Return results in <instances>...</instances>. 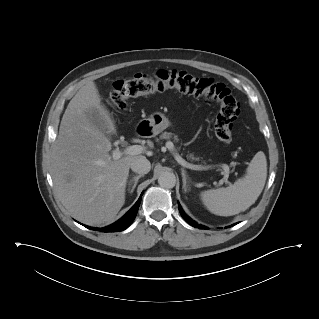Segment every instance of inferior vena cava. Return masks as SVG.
I'll return each mask as SVG.
<instances>
[{
	"mask_svg": "<svg viewBox=\"0 0 319 319\" xmlns=\"http://www.w3.org/2000/svg\"><path fill=\"white\" fill-rule=\"evenodd\" d=\"M130 167H131L132 171L144 175L150 171L151 164H150L149 160H147L144 156H142V157H138V158L134 159L131 162Z\"/></svg>",
	"mask_w": 319,
	"mask_h": 319,
	"instance_id": "inferior-vena-cava-1",
	"label": "inferior vena cava"
}]
</instances>
